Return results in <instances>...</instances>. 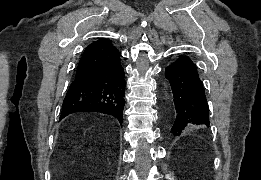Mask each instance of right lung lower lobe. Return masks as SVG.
Wrapping results in <instances>:
<instances>
[{
	"label": "right lung lower lobe",
	"mask_w": 261,
	"mask_h": 180,
	"mask_svg": "<svg viewBox=\"0 0 261 180\" xmlns=\"http://www.w3.org/2000/svg\"><path fill=\"white\" fill-rule=\"evenodd\" d=\"M124 93L120 61L94 67L74 78L64 98L60 120L77 112H99L116 117L122 125Z\"/></svg>",
	"instance_id": "98d812e1"
}]
</instances>
